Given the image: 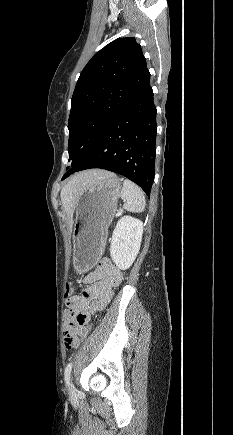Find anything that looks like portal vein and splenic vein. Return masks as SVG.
Listing matches in <instances>:
<instances>
[{
	"instance_id": "portal-vein-and-splenic-vein-1",
	"label": "portal vein and splenic vein",
	"mask_w": 233,
	"mask_h": 435,
	"mask_svg": "<svg viewBox=\"0 0 233 435\" xmlns=\"http://www.w3.org/2000/svg\"><path fill=\"white\" fill-rule=\"evenodd\" d=\"M117 215H118V216H119V215H121V212H118V214H117Z\"/></svg>"
}]
</instances>
